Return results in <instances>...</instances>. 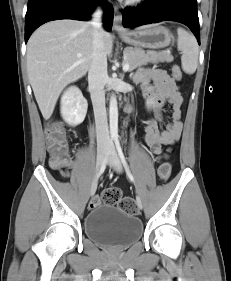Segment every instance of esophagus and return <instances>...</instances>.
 Listing matches in <instances>:
<instances>
[{
    "label": "esophagus",
    "mask_w": 231,
    "mask_h": 281,
    "mask_svg": "<svg viewBox=\"0 0 231 281\" xmlns=\"http://www.w3.org/2000/svg\"><path fill=\"white\" fill-rule=\"evenodd\" d=\"M113 29L118 33L126 32V29L122 25V15L117 7H114Z\"/></svg>",
    "instance_id": "obj_1"
}]
</instances>
